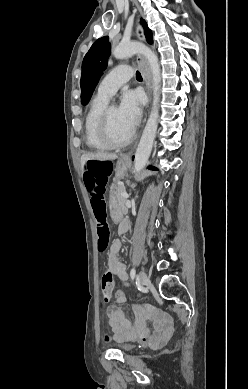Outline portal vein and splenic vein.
<instances>
[{
	"mask_svg": "<svg viewBox=\"0 0 248 389\" xmlns=\"http://www.w3.org/2000/svg\"><path fill=\"white\" fill-rule=\"evenodd\" d=\"M122 196H124L125 198H128V197H129L128 194H127L126 192H123V193H122Z\"/></svg>",
	"mask_w": 248,
	"mask_h": 389,
	"instance_id": "18ae733b",
	"label": "portal vein and splenic vein"
}]
</instances>
